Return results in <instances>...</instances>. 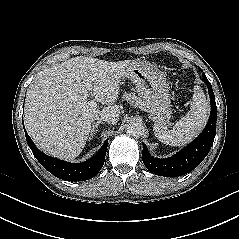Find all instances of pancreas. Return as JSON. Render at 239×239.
<instances>
[{
    "instance_id": "obj_1",
    "label": "pancreas",
    "mask_w": 239,
    "mask_h": 239,
    "mask_svg": "<svg viewBox=\"0 0 239 239\" xmlns=\"http://www.w3.org/2000/svg\"><path fill=\"white\" fill-rule=\"evenodd\" d=\"M122 98L124 100H129L133 104L140 103V98H138L134 93H124Z\"/></svg>"
}]
</instances>
